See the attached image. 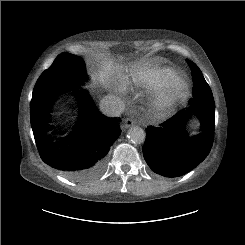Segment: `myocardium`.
<instances>
[{"label": "myocardium", "mask_w": 245, "mask_h": 245, "mask_svg": "<svg viewBox=\"0 0 245 245\" xmlns=\"http://www.w3.org/2000/svg\"><path fill=\"white\" fill-rule=\"evenodd\" d=\"M174 88V91H155L152 93L151 102L158 115L169 114L186 94L187 86L184 83L176 80Z\"/></svg>", "instance_id": "myocardium-1"}]
</instances>
